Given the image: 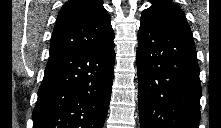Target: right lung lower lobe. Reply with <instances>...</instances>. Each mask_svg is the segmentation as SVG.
Instances as JSON below:
<instances>
[{
    "label": "right lung lower lobe",
    "instance_id": "obj_1",
    "mask_svg": "<svg viewBox=\"0 0 221 128\" xmlns=\"http://www.w3.org/2000/svg\"><path fill=\"white\" fill-rule=\"evenodd\" d=\"M105 47L50 55L33 110V128H102L115 62Z\"/></svg>",
    "mask_w": 221,
    "mask_h": 128
}]
</instances>
